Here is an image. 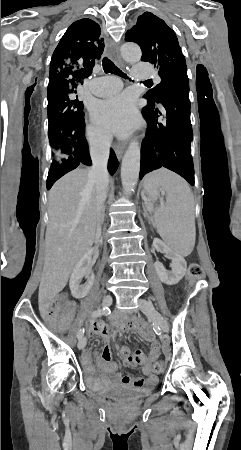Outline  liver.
Returning a JSON list of instances; mask_svg holds the SVG:
<instances>
[{"instance_id":"liver-1","label":"liver","mask_w":241,"mask_h":450,"mask_svg":"<svg viewBox=\"0 0 241 450\" xmlns=\"http://www.w3.org/2000/svg\"><path fill=\"white\" fill-rule=\"evenodd\" d=\"M88 170H73L52 186L48 196L50 222L39 288L40 304H49L65 288L96 234V186L86 190Z\"/></svg>"}]
</instances>
